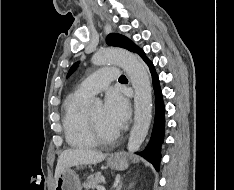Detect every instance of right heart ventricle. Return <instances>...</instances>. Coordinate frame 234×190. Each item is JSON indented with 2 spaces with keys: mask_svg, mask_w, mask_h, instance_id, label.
I'll list each match as a JSON object with an SVG mask.
<instances>
[{
  "mask_svg": "<svg viewBox=\"0 0 234 190\" xmlns=\"http://www.w3.org/2000/svg\"><path fill=\"white\" fill-rule=\"evenodd\" d=\"M89 98L90 96L74 92L66 97L63 104L65 137L74 148H92L97 144L86 120L85 106Z\"/></svg>",
  "mask_w": 234,
  "mask_h": 190,
  "instance_id": "obj_1",
  "label": "right heart ventricle"
}]
</instances>
